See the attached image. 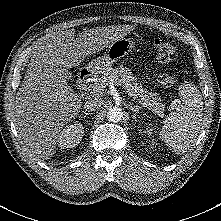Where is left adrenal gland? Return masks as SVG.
Here are the masks:
<instances>
[{
    "mask_svg": "<svg viewBox=\"0 0 221 221\" xmlns=\"http://www.w3.org/2000/svg\"><path fill=\"white\" fill-rule=\"evenodd\" d=\"M128 107L133 113V118L137 121V114L139 113V110H141V107L138 105L134 106L133 103H129Z\"/></svg>",
    "mask_w": 221,
    "mask_h": 221,
    "instance_id": "1",
    "label": "left adrenal gland"
}]
</instances>
